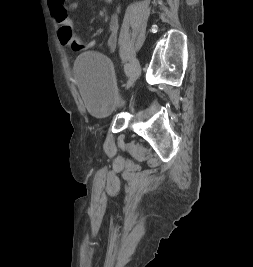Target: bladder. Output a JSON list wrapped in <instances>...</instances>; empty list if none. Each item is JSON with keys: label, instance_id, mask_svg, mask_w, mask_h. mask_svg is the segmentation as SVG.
Here are the masks:
<instances>
[{"label": "bladder", "instance_id": "1", "mask_svg": "<svg viewBox=\"0 0 253 267\" xmlns=\"http://www.w3.org/2000/svg\"><path fill=\"white\" fill-rule=\"evenodd\" d=\"M78 89L91 116L104 120L122 106L110 60L97 52L80 54L73 67Z\"/></svg>", "mask_w": 253, "mask_h": 267}]
</instances>
